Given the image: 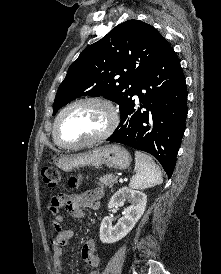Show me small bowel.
<instances>
[{"label": "small bowel", "mask_w": 221, "mask_h": 274, "mask_svg": "<svg viewBox=\"0 0 221 274\" xmlns=\"http://www.w3.org/2000/svg\"><path fill=\"white\" fill-rule=\"evenodd\" d=\"M103 195L102 190H90L76 195L59 194L51 199L49 210L53 215L52 227L54 234L51 240V249L53 255V266L57 274H62L63 261L62 249L74 236L72 229L62 227L64 217L61 209L65 208L74 218H83L87 208L98 209L100 199ZM82 257L84 261L92 268L89 274H97L94 270L100 263L99 256L95 253V243L88 240L82 247Z\"/></svg>", "instance_id": "obj_1"}]
</instances>
